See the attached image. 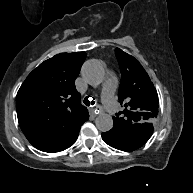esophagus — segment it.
<instances>
[{"instance_id": "obj_1", "label": "esophagus", "mask_w": 193, "mask_h": 193, "mask_svg": "<svg viewBox=\"0 0 193 193\" xmlns=\"http://www.w3.org/2000/svg\"><path fill=\"white\" fill-rule=\"evenodd\" d=\"M102 112H103V109H102L101 106H97V107L94 109V114H95V115H98V114H100V113H102Z\"/></svg>"}]
</instances>
